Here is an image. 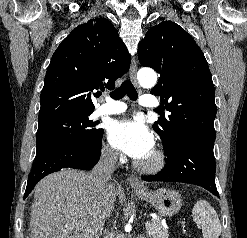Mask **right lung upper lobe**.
I'll return each mask as SVG.
<instances>
[{
	"instance_id": "1",
	"label": "right lung upper lobe",
	"mask_w": 247,
	"mask_h": 238,
	"mask_svg": "<svg viewBox=\"0 0 247 238\" xmlns=\"http://www.w3.org/2000/svg\"><path fill=\"white\" fill-rule=\"evenodd\" d=\"M131 56L108 20L96 18L76 27L58 46L40 96L39 122L93 113L92 91L113 89Z\"/></svg>"
}]
</instances>
